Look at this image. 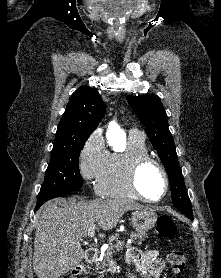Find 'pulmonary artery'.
Segmentation results:
<instances>
[{
	"instance_id": "obj_1",
	"label": "pulmonary artery",
	"mask_w": 221,
	"mask_h": 278,
	"mask_svg": "<svg viewBox=\"0 0 221 278\" xmlns=\"http://www.w3.org/2000/svg\"><path fill=\"white\" fill-rule=\"evenodd\" d=\"M130 135H135V136H139V137H144V135L137 129L135 128H131L129 131Z\"/></svg>"
}]
</instances>
